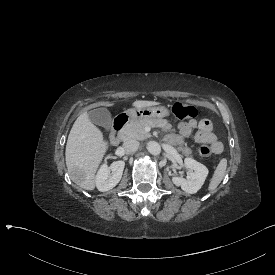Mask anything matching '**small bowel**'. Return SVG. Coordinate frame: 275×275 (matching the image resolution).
<instances>
[{
	"mask_svg": "<svg viewBox=\"0 0 275 275\" xmlns=\"http://www.w3.org/2000/svg\"><path fill=\"white\" fill-rule=\"evenodd\" d=\"M196 129L195 140L198 143L210 144L214 153L219 154L223 150L222 143L217 139L212 132V123L208 119H203L200 122L190 121L179 124V138H184L189 133Z\"/></svg>",
	"mask_w": 275,
	"mask_h": 275,
	"instance_id": "obj_1",
	"label": "small bowel"
}]
</instances>
